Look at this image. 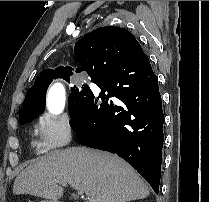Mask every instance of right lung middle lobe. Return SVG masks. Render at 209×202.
I'll use <instances>...</instances> for the list:
<instances>
[{
  "instance_id": "1",
  "label": "right lung middle lobe",
  "mask_w": 209,
  "mask_h": 202,
  "mask_svg": "<svg viewBox=\"0 0 209 202\" xmlns=\"http://www.w3.org/2000/svg\"><path fill=\"white\" fill-rule=\"evenodd\" d=\"M56 78H63L67 82L69 81L70 75H61L53 77ZM52 82V79L47 83V85ZM95 82V81H93ZM47 85L42 91V96L44 97L47 90ZM93 95V92L89 88L88 85L82 86H73L71 88V94L69 95V112L70 117H77L84 109L87 100ZM45 110V105L34 106L31 108H27L20 111L19 114V121L21 124H26L31 122L33 119L37 118L40 114H42Z\"/></svg>"
}]
</instances>
